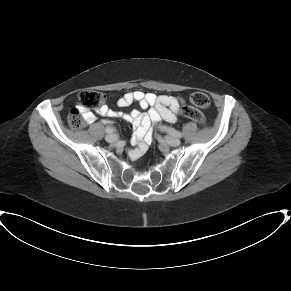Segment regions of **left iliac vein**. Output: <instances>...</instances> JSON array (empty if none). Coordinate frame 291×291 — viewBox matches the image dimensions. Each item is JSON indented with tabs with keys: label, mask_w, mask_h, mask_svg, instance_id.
I'll list each match as a JSON object with an SVG mask.
<instances>
[{
	"label": "left iliac vein",
	"mask_w": 291,
	"mask_h": 291,
	"mask_svg": "<svg viewBox=\"0 0 291 291\" xmlns=\"http://www.w3.org/2000/svg\"><path fill=\"white\" fill-rule=\"evenodd\" d=\"M162 130H163V128H162ZM165 141L171 146L180 145V140L176 137L171 136V135L166 136Z\"/></svg>",
	"instance_id": "left-iliac-vein-1"
}]
</instances>
